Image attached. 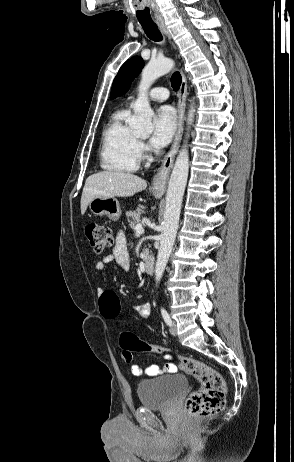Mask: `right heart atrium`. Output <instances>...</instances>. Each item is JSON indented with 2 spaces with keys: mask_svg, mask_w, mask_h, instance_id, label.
<instances>
[{
  "mask_svg": "<svg viewBox=\"0 0 294 462\" xmlns=\"http://www.w3.org/2000/svg\"><path fill=\"white\" fill-rule=\"evenodd\" d=\"M149 151L150 149L148 145L143 140H139L138 141V153H139L140 158L142 159L147 158Z\"/></svg>",
  "mask_w": 294,
  "mask_h": 462,
  "instance_id": "obj_1",
  "label": "right heart atrium"
}]
</instances>
